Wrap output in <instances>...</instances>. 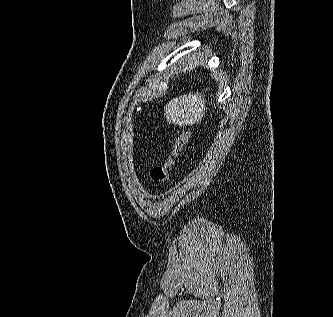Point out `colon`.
Here are the masks:
<instances>
[{"label": "colon", "instance_id": "obj_1", "mask_svg": "<svg viewBox=\"0 0 333 317\" xmlns=\"http://www.w3.org/2000/svg\"><path fill=\"white\" fill-rule=\"evenodd\" d=\"M191 138L189 131H183L176 138L174 147L163 164L154 166L150 171L151 180L156 184H165L177 157L182 153Z\"/></svg>", "mask_w": 333, "mask_h": 317}]
</instances>
